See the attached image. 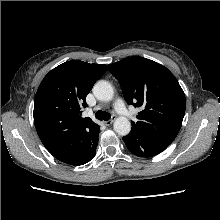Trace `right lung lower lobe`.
I'll use <instances>...</instances> for the list:
<instances>
[{"instance_id":"right-lung-lower-lobe-1","label":"right lung lower lobe","mask_w":220,"mask_h":220,"mask_svg":"<svg viewBox=\"0 0 220 220\" xmlns=\"http://www.w3.org/2000/svg\"><path fill=\"white\" fill-rule=\"evenodd\" d=\"M98 145V139L88 148L86 149L81 155L77 158L69 162L70 165H83L89 162L91 159L94 158L96 153V146Z\"/></svg>"}]
</instances>
